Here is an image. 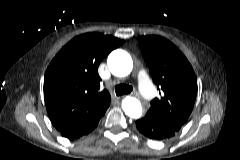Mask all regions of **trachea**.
Returning <instances> with one entry per match:
<instances>
[{"label": "trachea", "mask_w": 240, "mask_h": 160, "mask_svg": "<svg viewBox=\"0 0 240 160\" xmlns=\"http://www.w3.org/2000/svg\"><path fill=\"white\" fill-rule=\"evenodd\" d=\"M133 87L127 84H118L115 87V92L116 95L121 96L123 94H129L130 92H132Z\"/></svg>", "instance_id": "obj_1"}]
</instances>
